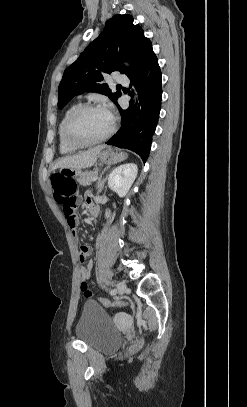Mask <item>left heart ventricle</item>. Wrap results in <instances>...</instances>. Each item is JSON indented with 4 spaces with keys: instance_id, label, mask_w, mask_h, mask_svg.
Segmentation results:
<instances>
[{
    "instance_id": "1",
    "label": "left heart ventricle",
    "mask_w": 247,
    "mask_h": 407,
    "mask_svg": "<svg viewBox=\"0 0 247 407\" xmlns=\"http://www.w3.org/2000/svg\"><path fill=\"white\" fill-rule=\"evenodd\" d=\"M111 127L105 110H88L81 113L72 124V135L79 141H93L104 136Z\"/></svg>"
}]
</instances>
